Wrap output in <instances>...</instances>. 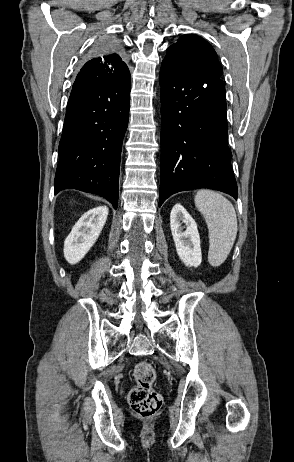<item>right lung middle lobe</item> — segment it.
I'll use <instances>...</instances> for the list:
<instances>
[{
  "instance_id": "1",
  "label": "right lung middle lobe",
  "mask_w": 294,
  "mask_h": 462,
  "mask_svg": "<svg viewBox=\"0 0 294 462\" xmlns=\"http://www.w3.org/2000/svg\"><path fill=\"white\" fill-rule=\"evenodd\" d=\"M119 46V42L116 38L111 37V36H105L100 38L92 47L90 51V55L94 56L102 51L105 50H111L114 49L116 50Z\"/></svg>"
}]
</instances>
